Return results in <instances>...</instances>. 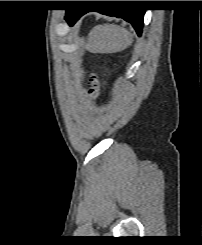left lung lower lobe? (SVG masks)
Masks as SVG:
<instances>
[{
  "label": "left lung lower lobe",
  "instance_id": "0a47b994",
  "mask_svg": "<svg viewBox=\"0 0 202 245\" xmlns=\"http://www.w3.org/2000/svg\"><path fill=\"white\" fill-rule=\"evenodd\" d=\"M89 11L86 9H69L66 11L65 19L70 24L73 25L82 15ZM102 14L109 16H116L118 18H123L127 22H130L137 34L140 36L143 28V17L144 10L137 8H115V9H101L95 10Z\"/></svg>",
  "mask_w": 202,
  "mask_h": 245
}]
</instances>
